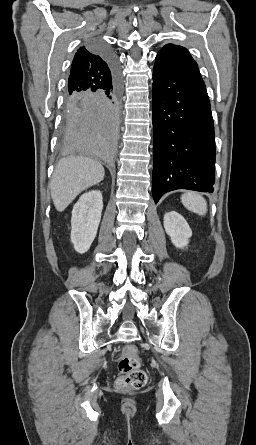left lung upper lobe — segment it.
<instances>
[{"label":"left lung upper lobe","mask_w":256,"mask_h":445,"mask_svg":"<svg viewBox=\"0 0 256 445\" xmlns=\"http://www.w3.org/2000/svg\"><path fill=\"white\" fill-rule=\"evenodd\" d=\"M155 64L171 68L192 79L203 81L195 60L188 50L179 45L167 44L157 54Z\"/></svg>","instance_id":"left-lung-upper-lobe-1"}]
</instances>
